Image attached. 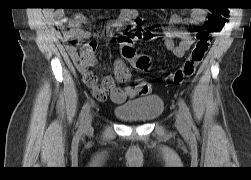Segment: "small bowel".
Returning a JSON list of instances; mask_svg holds the SVG:
<instances>
[{
  "mask_svg": "<svg viewBox=\"0 0 251 180\" xmlns=\"http://www.w3.org/2000/svg\"><path fill=\"white\" fill-rule=\"evenodd\" d=\"M138 15L139 12L135 8L123 9L118 17L110 22V25L116 30H120L126 25L137 21ZM48 16L55 25L66 24L62 28L66 50L81 73L83 82L90 88L97 100L104 101L110 97L113 102L120 104L125 102L127 98L150 94L151 85L148 82L139 81L134 86L127 84L130 80V73L122 59H118L115 62L114 76H104L101 82L98 83L96 75L89 70V68L97 64L95 57L96 43L93 41L87 42L81 47L80 53L77 50L78 42L90 38V33L83 28L88 19L80 13L67 17L63 10L52 11ZM205 19L206 11L203 8H194L191 12V17L187 19L178 14L172 15L169 25L164 31L166 48L175 57H184L193 44V37L188 30L182 29L179 26L182 24L199 26L205 22ZM118 84H125V86L120 87Z\"/></svg>",
  "mask_w": 251,
  "mask_h": 180,
  "instance_id": "obj_1",
  "label": "small bowel"
}]
</instances>
